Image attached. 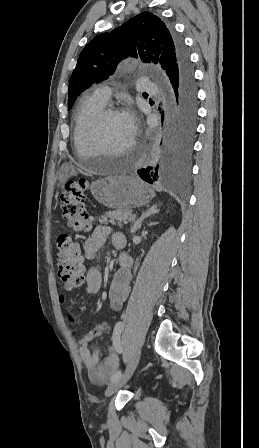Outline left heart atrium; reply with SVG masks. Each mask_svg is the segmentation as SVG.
<instances>
[{"instance_id": "39dd6f15", "label": "left heart atrium", "mask_w": 259, "mask_h": 448, "mask_svg": "<svg viewBox=\"0 0 259 448\" xmlns=\"http://www.w3.org/2000/svg\"><path fill=\"white\" fill-rule=\"evenodd\" d=\"M122 117H123L125 123L127 124V126L129 127L131 133L134 136L137 127H136V121H135L133 112L130 109H126L123 112Z\"/></svg>"}]
</instances>
